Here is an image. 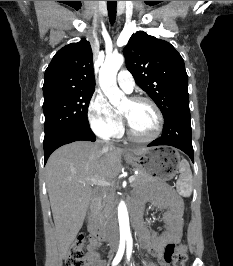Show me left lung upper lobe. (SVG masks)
Listing matches in <instances>:
<instances>
[{
    "label": "left lung upper lobe",
    "mask_w": 233,
    "mask_h": 266,
    "mask_svg": "<svg viewBox=\"0 0 233 266\" xmlns=\"http://www.w3.org/2000/svg\"><path fill=\"white\" fill-rule=\"evenodd\" d=\"M124 55L128 70L157 104L164 120L178 107L189 104L184 60L170 43L138 31L131 36Z\"/></svg>",
    "instance_id": "left-lung-upper-lobe-1"
}]
</instances>
